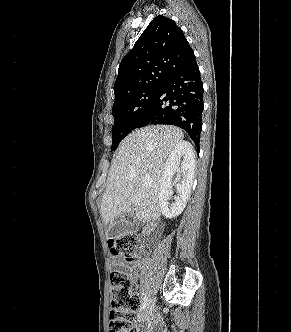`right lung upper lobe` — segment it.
Masks as SVG:
<instances>
[{"label": "right lung upper lobe", "instance_id": "obj_1", "mask_svg": "<svg viewBox=\"0 0 291 332\" xmlns=\"http://www.w3.org/2000/svg\"><path fill=\"white\" fill-rule=\"evenodd\" d=\"M195 59L183 31L162 15L155 17L123 58L114 84L115 100L156 82Z\"/></svg>", "mask_w": 291, "mask_h": 332}]
</instances>
